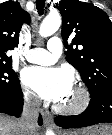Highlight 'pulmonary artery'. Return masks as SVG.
<instances>
[{
    "instance_id": "pulmonary-artery-1",
    "label": "pulmonary artery",
    "mask_w": 112,
    "mask_h": 135,
    "mask_svg": "<svg viewBox=\"0 0 112 135\" xmlns=\"http://www.w3.org/2000/svg\"><path fill=\"white\" fill-rule=\"evenodd\" d=\"M62 42L59 38L53 37L48 40L47 48H34L27 52L26 58L29 62L50 65L57 61L62 53Z\"/></svg>"
}]
</instances>
